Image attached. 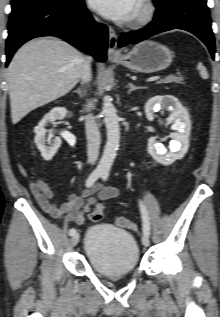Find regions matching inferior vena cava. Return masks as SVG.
<instances>
[{
	"instance_id": "obj_1",
	"label": "inferior vena cava",
	"mask_w": 220,
	"mask_h": 317,
	"mask_svg": "<svg viewBox=\"0 0 220 317\" xmlns=\"http://www.w3.org/2000/svg\"><path fill=\"white\" fill-rule=\"evenodd\" d=\"M90 57H86L83 65V69L81 72L80 79L83 83H88L91 81V66H90ZM92 107V103L89 102L87 105V111L90 110ZM85 130H86V137H87V155H88V162L90 164H94L99 155V148H100V132L97 126V123L92 115H88L85 120Z\"/></svg>"
}]
</instances>
